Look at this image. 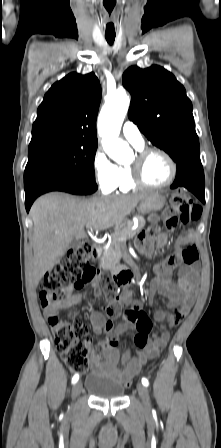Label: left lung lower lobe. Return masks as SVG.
I'll return each mask as SVG.
<instances>
[{
  "instance_id": "0a47b994",
  "label": "left lung lower lobe",
  "mask_w": 221,
  "mask_h": 448,
  "mask_svg": "<svg viewBox=\"0 0 221 448\" xmlns=\"http://www.w3.org/2000/svg\"><path fill=\"white\" fill-rule=\"evenodd\" d=\"M205 179L201 163H194L177 169L171 188L185 187L205 203Z\"/></svg>"
}]
</instances>
